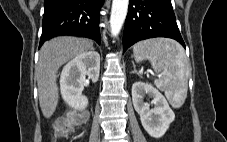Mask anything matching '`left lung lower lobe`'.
<instances>
[{
	"label": "left lung lower lobe",
	"mask_w": 227,
	"mask_h": 142,
	"mask_svg": "<svg viewBox=\"0 0 227 142\" xmlns=\"http://www.w3.org/2000/svg\"><path fill=\"white\" fill-rule=\"evenodd\" d=\"M153 37L175 39L185 48L171 0H130L123 32V53L134 43Z\"/></svg>",
	"instance_id": "1"
}]
</instances>
